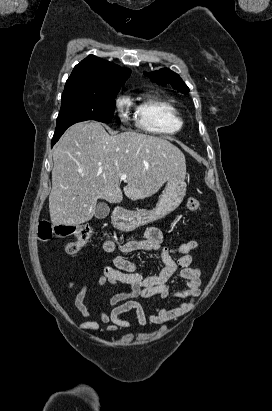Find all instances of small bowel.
<instances>
[{"mask_svg":"<svg viewBox=\"0 0 272 411\" xmlns=\"http://www.w3.org/2000/svg\"><path fill=\"white\" fill-rule=\"evenodd\" d=\"M198 248L196 240H190L173 247L163 245V234L157 227H148L139 240H129L117 243L107 240L103 249L107 253H118L113 258V266L105 267L103 274L94 282L96 286L110 284L116 286L123 284L128 286V291L113 294L109 299L110 312L97 304L100 321L107 324L106 332L113 333L132 327L131 322L122 318L129 312H134L137 322L141 327L148 324L162 325L176 320L185 313L191 311L195 306V300L201 294V269L193 266L192 251ZM137 251H157L161 266L155 273H145L139 270L137 264L123 257ZM176 254L177 258L173 255ZM183 282V287L174 291L173 284ZM77 283V279L71 280L66 291L71 290ZM89 283H84L74 299L75 308L79 313L89 318L91 313L85 304V298ZM159 297L167 299L170 297L182 301L174 306L157 305L152 312L147 314L137 298ZM83 330L98 331L100 323L94 320H86L79 323Z\"/></svg>","mask_w":272,"mask_h":411,"instance_id":"c3829d8e","label":"small bowel"}]
</instances>
